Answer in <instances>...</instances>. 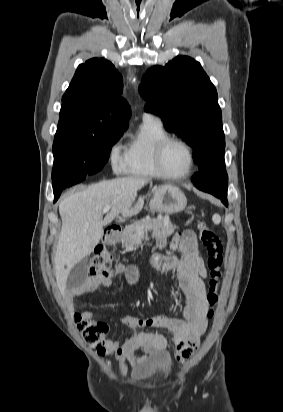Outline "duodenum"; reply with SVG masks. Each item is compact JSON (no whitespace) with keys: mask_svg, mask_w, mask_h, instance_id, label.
Here are the masks:
<instances>
[{"mask_svg":"<svg viewBox=\"0 0 283 412\" xmlns=\"http://www.w3.org/2000/svg\"><path fill=\"white\" fill-rule=\"evenodd\" d=\"M120 234V228L118 226H110L107 229L105 241L108 245L113 246L117 243Z\"/></svg>","mask_w":283,"mask_h":412,"instance_id":"1","label":"duodenum"}]
</instances>
